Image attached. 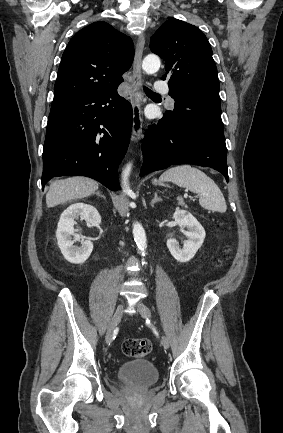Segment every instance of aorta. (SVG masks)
<instances>
[{"instance_id": "aorta-1", "label": "aorta", "mask_w": 283, "mask_h": 433, "mask_svg": "<svg viewBox=\"0 0 283 433\" xmlns=\"http://www.w3.org/2000/svg\"><path fill=\"white\" fill-rule=\"evenodd\" d=\"M160 65L161 62L159 57L154 54H149L144 58L142 62V69L147 74H154L159 70ZM131 168L132 164L128 163L122 172L121 186L123 191L127 194L132 192L128 184V177L130 175ZM133 236L137 247L142 252V255H144L145 248L147 246L146 234L143 226L138 222L133 224Z\"/></svg>"}]
</instances>
